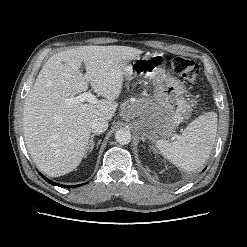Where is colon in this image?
<instances>
[{
  "label": "colon",
  "mask_w": 247,
  "mask_h": 247,
  "mask_svg": "<svg viewBox=\"0 0 247 247\" xmlns=\"http://www.w3.org/2000/svg\"><path fill=\"white\" fill-rule=\"evenodd\" d=\"M173 71L187 84H194L198 79L199 66L191 59L177 56L171 62Z\"/></svg>",
  "instance_id": "obj_1"
}]
</instances>
